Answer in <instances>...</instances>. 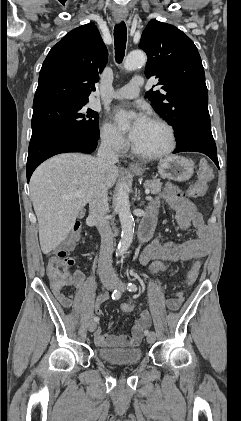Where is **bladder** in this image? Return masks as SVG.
Listing matches in <instances>:
<instances>
[{
    "mask_svg": "<svg viewBox=\"0 0 241 421\" xmlns=\"http://www.w3.org/2000/svg\"><path fill=\"white\" fill-rule=\"evenodd\" d=\"M98 356L105 362L113 365H130L138 363L142 359L140 348H107L100 347L97 350Z\"/></svg>",
    "mask_w": 241,
    "mask_h": 421,
    "instance_id": "bladder-1",
    "label": "bladder"
}]
</instances>
